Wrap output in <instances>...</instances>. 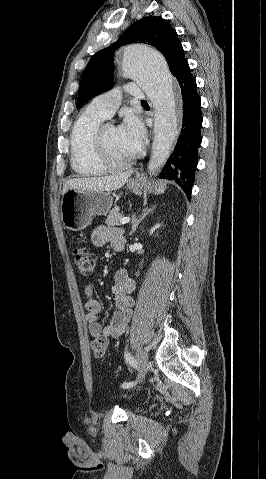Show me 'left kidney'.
Wrapping results in <instances>:
<instances>
[{
  "label": "left kidney",
  "instance_id": "1",
  "mask_svg": "<svg viewBox=\"0 0 266 479\" xmlns=\"http://www.w3.org/2000/svg\"><path fill=\"white\" fill-rule=\"evenodd\" d=\"M160 226H161V224H157V225H155L153 228H151V230H150V235H151L156 229H158Z\"/></svg>",
  "mask_w": 266,
  "mask_h": 479
}]
</instances>
